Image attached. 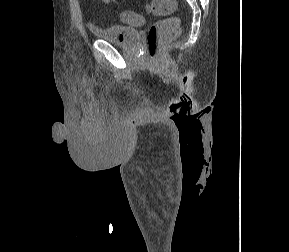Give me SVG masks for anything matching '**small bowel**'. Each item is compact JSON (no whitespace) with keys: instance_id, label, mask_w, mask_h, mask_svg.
Here are the masks:
<instances>
[{"instance_id":"obj_1","label":"small bowel","mask_w":289,"mask_h":252,"mask_svg":"<svg viewBox=\"0 0 289 252\" xmlns=\"http://www.w3.org/2000/svg\"><path fill=\"white\" fill-rule=\"evenodd\" d=\"M104 4L109 5L113 3L115 0H101Z\"/></svg>"}]
</instances>
